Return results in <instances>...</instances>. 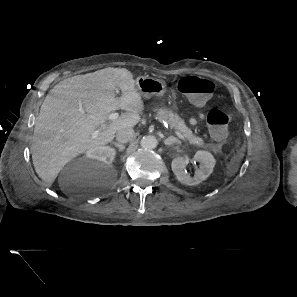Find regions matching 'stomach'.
Returning <instances> with one entry per match:
<instances>
[{
	"mask_svg": "<svg viewBox=\"0 0 297 297\" xmlns=\"http://www.w3.org/2000/svg\"><path fill=\"white\" fill-rule=\"evenodd\" d=\"M137 91L146 98L152 96H163L166 92V83L157 78L140 76L136 80Z\"/></svg>",
	"mask_w": 297,
	"mask_h": 297,
	"instance_id": "stomach-1",
	"label": "stomach"
}]
</instances>
